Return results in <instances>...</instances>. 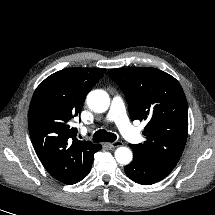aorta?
Instances as JSON below:
<instances>
[{
    "label": "aorta",
    "mask_w": 215,
    "mask_h": 215,
    "mask_svg": "<svg viewBox=\"0 0 215 215\" xmlns=\"http://www.w3.org/2000/svg\"><path fill=\"white\" fill-rule=\"evenodd\" d=\"M87 104L94 112L103 113L109 107L110 98L103 90H93L87 96ZM115 158L118 163L127 165L132 160V152L127 147H119L115 151Z\"/></svg>",
    "instance_id": "obj_1"
}]
</instances>
